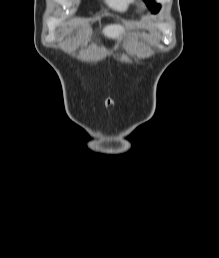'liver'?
I'll use <instances>...</instances> for the list:
<instances>
[{"instance_id":"obj_1","label":"liver","mask_w":219,"mask_h":258,"mask_svg":"<svg viewBox=\"0 0 219 258\" xmlns=\"http://www.w3.org/2000/svg\"><path fill=\"white\" fill-rule=\"evenodd\" d=\"M103 34L111 39L119 38L125 33V28L119 24H110L103 28Z\"/></svg>"}]
</instances>
